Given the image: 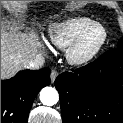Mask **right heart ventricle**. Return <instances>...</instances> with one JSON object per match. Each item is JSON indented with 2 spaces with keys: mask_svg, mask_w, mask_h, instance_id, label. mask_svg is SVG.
I'll list each match as a JSON object with an SVG mask.
<instances>
[{
  "mask_svg": "<svg viewBox=\"0 0 123 123\" xmlns=\"http://www.w3.org/2000/svg\"><path fill=\"white\" fill-rule=\"evenodd\" d=\"M94 23L92 19L83 16L70 17L52 23L47 28V43L65 50L82 31Z\"/></svg>",
  "mask_w": 123,
  "mask_h": 123,
  "instance_id": "e07e8e85",
  "label": "right heart ventricle"
}]
</instances>
